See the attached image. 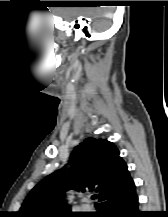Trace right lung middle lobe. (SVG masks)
<instances>
[{
  "label": "right lung middle lobe",
  "instance_id": "dd1d6c3e",
  "mask_svg": "<svg viewBox=\"0 0 168 217\" xmlns=\"http://www.w3.org/2000/svg\"><path fill=\"white\" fill-rule=\"evenodd\" d=\"M53 217H78V214H73V215H55Z\"/></svg>",
  "mask_w": 168,
  "mask_h": 217
}]
</instances>
